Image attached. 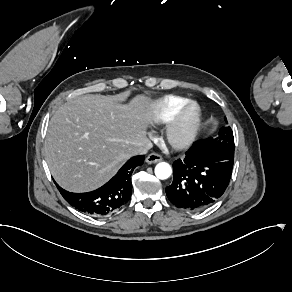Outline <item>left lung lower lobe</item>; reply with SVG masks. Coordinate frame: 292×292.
Instances as JSON below:
<instances>
[{
    "label": "left lung lower lobe",
    "mask_w": 292,
    "mask_h": 292,
    "mask_svg": "<svg viewBox=\"0 0 292 292\" xmlns=\"http://www.w3.org/2000/svg\"><path fill=\"white\" fill-rule=\"evenodd\" d=\"M196 141L184 159L173 163V182L166 187L169 201L186 211L203 210L225 192L232 173L234 156L200 150Z\"/></svg>",
    "instance_id": "left-lung-lower-lobe-1"
}]
</instances>
